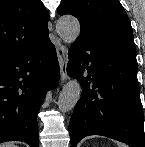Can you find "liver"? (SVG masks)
I'll return each instance as SVG.
<instances>
[{"label": "liver", "mask_w": 145, "mask_h": 147, "mask_svg": "<svg viewBox=\"0 0 145 147\" xmlns=\"http://www.w3.org/2000/svg\"><path fill=\"white\" fill-rule=\"evenodd\" d=\"M0 147H17V146L13 143H5V144H0Z\"/></svg>", "instance_id": "obj_1"}]
</instances>
